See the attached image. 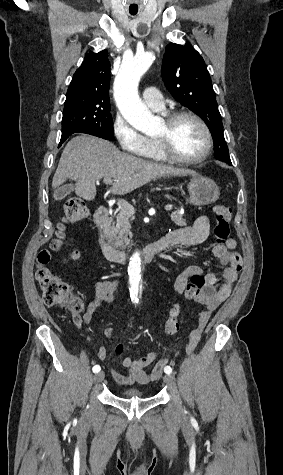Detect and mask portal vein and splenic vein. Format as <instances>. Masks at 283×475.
<instances>
[{
	"mask_svg": "<svg viewBox=\"0 0 283 475\" xmlns=\"http://www.w3.org/2000/svg\"><path fill=\"white\" fill-rule=\"evenodd\" d=\"M103 182L104 184H109V186H111V184H113V182H116V180H111V178H104ZM124 202L125 200H120V202H118V206L122 208V212L123 210H130V212L134 214L133 206H130V204H124ZM172 208H173L172 204H169V206H165V210H172Z\"/></svg>",
	"mask_w": 283,
	"mask_h": 475,
	"instance_id": "18ae733b",
	"label": "portal vein and splenic vein"
}]
</instances>
